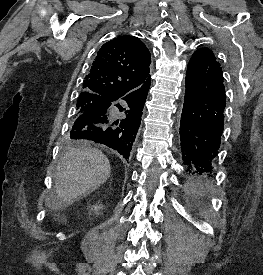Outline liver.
Listing matches in <instances>:
<instances>
[{
	"label": "liver",
	"instance_id": "obj_1",
	"mask_svg": "<svg viewBox=\"0 0 263 275\" xmlns=\"http://www.w3.org/2000/svg\"><path fill=\"white\" fill-rule=\"evenodd\" d=\"M108 158L98 149L78 147L69 150L57 165L52 210L68 206L87 196L110 177Z\"/></svg>",
	"mask_w": 263,
	"mask_h": 275
}]
</instances>
